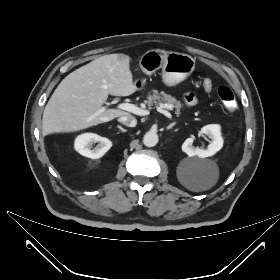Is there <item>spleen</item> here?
Here are the masks:
<instances>
[{
    "mask_svg": "<svg viewBox=\"0 0 280 280\" xmlns=\"http://www.w3.org/2000/svg\"><path fill=\"white\" fill-rule=\"evenodd\" d=\"M214 183L210 184L207 188L211 187Z\"/></svg>",
    "mask_w": 280,
    "mask_h": 280,
    "instance_id": "obj_1",
    "label": "spleen"
}]
</instances>
